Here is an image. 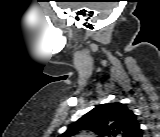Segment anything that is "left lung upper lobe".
Here are the masks:
<instances>
[{"label":"left lung upper lobe","mask_w":160,"mask_h":137,"mask_svg":"<svg viewBox=\"0 0 160 137\" xmlns=\"http://www.w3.org/2000/svg\"><path fill=\"white\" fill-rule=\"evenodd\" d=\"M138 127L136 115L126 105L116 102L95 107L61 136L70 137L80 130H91L100 137H132Z\"/></svg>","instance_id":"5c2ea615"}]
</instances>
